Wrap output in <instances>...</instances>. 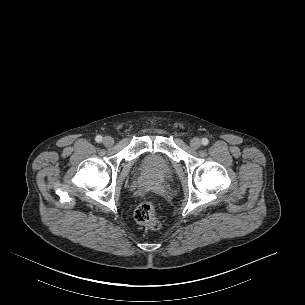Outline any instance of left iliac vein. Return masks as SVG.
I'll return each mask as SVG.
<instances>
[{
    "instance_id": "obj_1",
    "label": "left iliac vein",
    "mask_w": 305,
    "mask_h": 305,
    "mask_svg": "<svg viewBox=\"0 0 305 305\" xmlns=\"http://www.w3.org/2000/svg\"><path fill=\"white\" fill-rule=\"evenodd\" d=\"M190 146L193 149H198L201 146V140L199 138H197V137L191 139Z\"/></svg>"
}]
</instances>
